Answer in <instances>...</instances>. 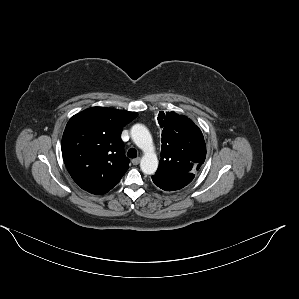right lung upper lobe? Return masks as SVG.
<instances>
[{
    "label": "right lung upper lobe",
    "mask_w": 299,
    "mask_h": 299,
    "mask_svg": "<svg viewBox=\"0 0 299 299\" xmlns=\"http://www.w3.org/2000/svg\"><path fill=\"white\" fill-rule=\"evenodd\" d=\"M137 115L92 107L71 117L62 137V155L71 177L82 189L100 195L120 181L129 168L121 131Z\"/></svg>",
    "instance_id": "cb5924a9"
}]
</instances>
